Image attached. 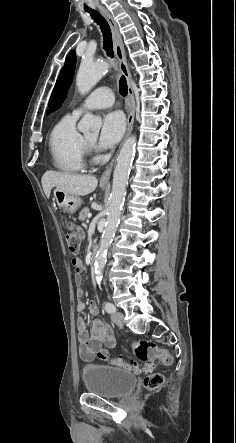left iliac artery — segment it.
Returning a JSON list of instances; mask_svg holds the SVG:
<instances>
[{"label": "left iliac artery", "instance_id": "left-iliac-artery-1", "mask_svg": "<svg viewBox=\"0 0 236 443\" xmlns=\"http://www.w3.org/2000/svg\"><path fill=\"white\" fill-rule=\"evenodd\" d=\"M104 308L108 313H114L116 311V307L111 302L108 301L104 303Z\"/></svg>", "mask_w": 236, "mask_h": 443}]
</instances>
